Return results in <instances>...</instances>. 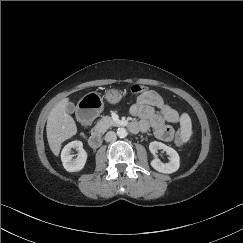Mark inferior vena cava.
<instances>
[{"label":"inferior vena cava","instance_id":"602c4592","mask_svg":"<svg viewBox=\"0 0 243 243\" xmlns=\"http://www.w3.org/2000/svg\"><path fill=\"white\" fill-rule=\"evenodd\" d=\"M116 139V133L114 131H109L105 135V141L111 142Z\"/></svg>","mask_w":243,"mask_h":243}]
</instances>
